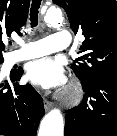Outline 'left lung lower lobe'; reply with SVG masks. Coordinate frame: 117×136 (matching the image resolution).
<instances>
[{"mask_svg": "<svg viewBox=\"0 0 117 136\" xmlns=\"http://www.w3.org/2000/svg\"><path fill=\"white\" fill-rule=\"evenodd\" d=\"M82 87L83 101L66 113L65 136H117V71Z\"/></svg>", "mask_w": 117, "mask_h": 136, "instance_id": "0a47b994", "label": "left lung lower lobe"}]
</instances>
